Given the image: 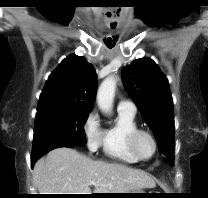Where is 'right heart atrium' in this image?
<instances>
[{
  "label": "right heart atrium",
  "instance_id": "obj_1",
  "mask_svg": "<svg viewBox=\"0 0 208 198\" xmlns=\"http://www.w3.org/2000/svg\"><path fill=\"white\" fill-rule=\"evenodd\" d=\"M83 131L88 149L91 152L97 151L103 141V129L96 111L90 112L86 117L83 124Z\"/></svg>",
  "mask_w": 208,
  "mask_h": 198
}]
</instances>
